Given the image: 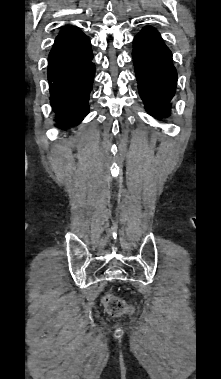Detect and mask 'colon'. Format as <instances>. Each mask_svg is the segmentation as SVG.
<instances>
[{
	"mask_svg": "<svg viewBox=\"0 0 221 379\" xmlns=\"http://www.w3.org/2000/svg\"><path fill=\"white\" fill-rule=\"evenodd\" d=\"M102 303L107 312L112 316H120L130 311V307L123 299L111 293L104 295Z\"/></svg>",
	"mask_w": 221,
	"mask_h": 379,
	"instance_id": "obj_1",
	"label": "colon"
}]
</instances>
